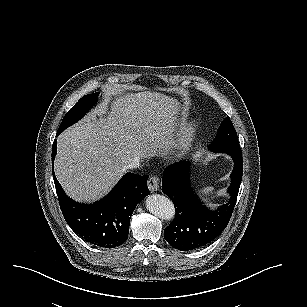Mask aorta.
<instances>
[{
  "mask_svg": "<svg viewBox=\"0 0 307 307\" xmlns=\"http://www.w3.org/2000/svg\"><path fill=\"white\" fill-rule=\"evenodd\" d=\"M146 209L162 220H171L175 216L173 202L160 194H151L146 198Z\"/></svg>",
  "mask_w": 307,
  "mask_h": 307,
  "instance_id": "aorta-1",
  "label": "aorta"
}]
</instances>
